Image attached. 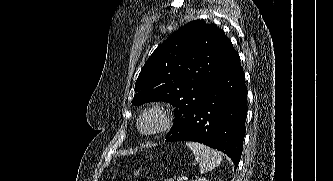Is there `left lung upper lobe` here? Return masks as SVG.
Segmentation results:
<instances>
[{"label":"left lung upper lobe","mask_w":333,"mask_h":181,"mask_svg":"<svg viewBox=\"0 0 333 181\" xmlns=\"http://www.w3.org/2000/svg\"><path fill=\"white\" fill-rule=\"evenodd\" d=\"M237 57L231 41L216 25L191 21L148 58L135 83L132 104L169 102L177 119L201 103L209 84Z\"/></svg>","instance_id":"5c2ea615"}]
</instances>
